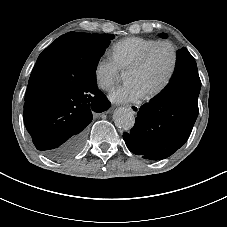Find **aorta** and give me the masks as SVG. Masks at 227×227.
<instances>
[{
	"instance_id": "762f6f07",
	"label": "aorta",
	"mask_w": 227,
	"mask_h": 227,
	"mask_svg": "<svg viewBox=\"0 0 227 227\" xmlns=\"http://www.w3.org/2000/svg\"><path fill=\"white\" fill-rule=\"evenodd\" d=\"M113 120L117 127L130 130L135 123V116L131 109L120 107L113 113Z\"/></svg>"
}]
</instances>
